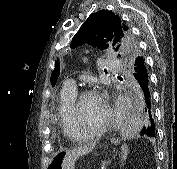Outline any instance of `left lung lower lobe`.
Returning <instances> with one entry per match:
<instances>
[{"instance_id":"obj_1","label":"left lung lower lobe","mask_w":177,"mask_h":169,"mask_svg":"<svg viewBox=\"0 0 177 169\" xmlns=\"http://www.w3.org/2000/svg\"><path fill=\"white\" fill-rule=\"evenodd\" d=\"M129 68L132 74V78L135 82V89L138 93L139 102L145 108L146 125L141 131V135H147L149 137L156 136V128L153 120L152 100L149 87V76L146 62L143 56H135L131 62H129Z\"/></svg>"}]
</instances>
